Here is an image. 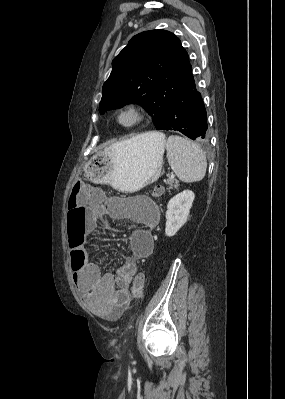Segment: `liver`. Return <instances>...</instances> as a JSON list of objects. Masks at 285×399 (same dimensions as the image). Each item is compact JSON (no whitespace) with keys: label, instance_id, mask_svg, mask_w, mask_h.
I'll use <instances>...</instances> for the list:
<instances>
[{"label":"liver","instance_id":"liver-1","mask_svg":"<svg viewBox=\"0 0 285 399\" xmlns=\"http://www.w3.org/2000/svg\"><path fill=\"white\" fill-rule=\"evenodd\" d=\"M142 135H149V136L155 137V132H153V133H145V134H142Z\"/></svg>","mask_w":285,"mask_h":399}]
</instances>
